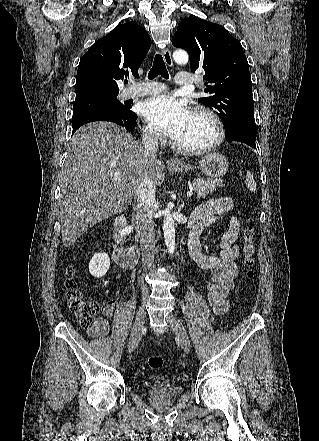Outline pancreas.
Returning a JSON list of instances; mask_svg holds the SVG:
<instances>
[{"mask_svg": "<svg viewBox=\"0 0 319 441\" xmlns=\"http://www.w3.org/2000/svg\"><path fill=\"white\" fill-rule=\"evenodd\" d=\"M217 186H224L221 179L197 178L193 181V188L197 193V199L205 198L208 194H212Z\"/></svg>", "mask_w": 319, "mask_h": 441, "instance_id": "obj_1", "label": "pancreas"}]
</instances>
